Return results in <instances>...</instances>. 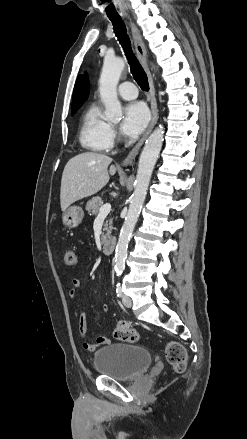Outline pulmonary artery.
<instances>
[{"label": "pulmonary artery", "instance_id": "pulmonary-artery-1", "mask_svg": "<svg viewBox=\"0 0 247 439\" xmlns=\"http://www.w3.org/2000/svg\"><path fill=\"white\" fill-rule=\"evenodd\" d=\"M119 95L126 100H132L137 97V89L131 82H124L118 87Z\"/></svg>", "mask_w": 247, "mask_h": 439}]
</instances>
